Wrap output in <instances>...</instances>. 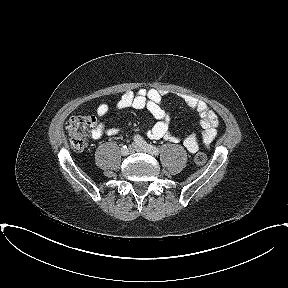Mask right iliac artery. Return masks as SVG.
<instances>
[{
    "label": "right iliac artery",
    "instance_id": "82829eb1",
    "mask_svg": "<svg viewBox=\"0 0 288 288\" xmlns=\"http://www.w3.org/2000/svg\"><path fill=\"white\" fill-rule=\"evenodd\" d=\"M129 154V149L124 145L121 148V155L122 156H127Z\"/></svg>",
    "mask_w": 288,
    "mask_h": 288
}]
</instances>
